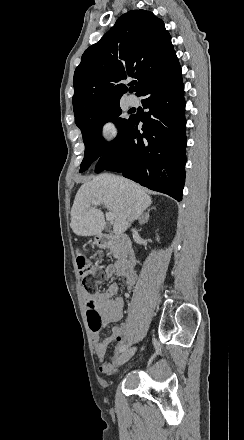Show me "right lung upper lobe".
<instances>
[{"label":"right lung upper lobe","mask_w":244,"mask_h":440,"mask_svg":"<svg viewBox=\"0 0 244 440\" xmlns=\"http://www.w3.org/2000/svg\"><path fill=\"white\" fill-rule=\"evenodd\" d=\"M174 63L178 59L163 21L147 10L129 11L82 55L74 73V110L120 99L128 91L121 81L128 77L138 80L129 91L139 93L154 73Z\"/></svg>","instance_id":"obj_1"}]
</instances>
